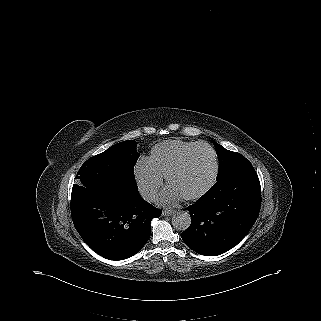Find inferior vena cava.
I'll list each match as a JSON object with an SVG mask.
<instances>
[{"mask_svg":"<svg viewBox=\"0 0 321 321\" xmlns=\"http://www.w3.org/2000/svg\"><path fill=\"white\" fill-rule=\"evenodd\" d=\"M140 193L148 202H154L157 199V190L154 188H144L140 191Z\"/></svg>","mask_w":321,"mask_h":321,"instance_id":"obj_1","label":"inferior vena cava"}]
</instances>
